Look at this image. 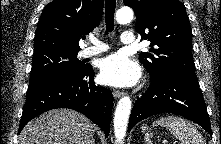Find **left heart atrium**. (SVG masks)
Listing matches in <instances>:
<instances>
[{
  "label": "left heart atrium",
  "instance_id": "left-heart-atrium-1",
  "mask_svg": "<svg viewBox=\"0 0 221 144\" xmlns=\"http://www.w3.org/2000/svg\"><path fill=\"white\" fill-rule=\"evenodd\" d=\"M139 76L136 63L123 53L112 54L101 61L100 80L104 84L127 87L135 84Z\"/></svg>",
  "mask_w": 221,
  "mask_h": 144
}]
</instances>
